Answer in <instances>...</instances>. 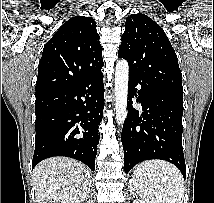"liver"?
<instances>
[{
  "label": "liver",
  "mask_w": 214,
  "mask_h": 203,
  "mask_svg": "<svg viewBox=\"0 0 214 203\" xmlns=\"http://www.w3.org/2000/svg\"><path fill=\"white\" fill-rule=\"evenodd\" d=\"M36 203H82L90 192V172L67 157H53L33 170Z\"/></svg>",
  "instance_id": "obj_1"
}]
</instances>
